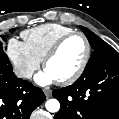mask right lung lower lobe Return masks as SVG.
Here are the masks:
<instances>
[{"instance_id":"98d812e1","label":"right lung lower lobe","mask_w":119,"mask_h":119,"mask_svg":"<svg viewBox=\"0 0 119 119\" xmlns=\"http://www.w3.org/2000/svg\"><path fill=\"white\" fill-rule=\"evenodd\" d=\"M45 100L43 91L13 71L0 69V119H29Z\"/></svg>"}]
</instances>
